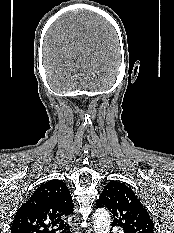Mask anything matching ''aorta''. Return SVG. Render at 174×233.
I'll return each mask as SVG.
<instances>
[{
    "label": "aorta",
    "instance_id": "1",
    "mask_svg": "<svg viewBox=\"0 0 174 233\" xmlns=\"http://www.w3.org/2000/svg\"><path fill=\"white\" fill-rule=\"evenodd\" d=\"M95 233H109L111 226L110 214L106 209H97L93 216Z\"/></svg>",
    "mask_w": 174,
    "mask_h": 233
}]
</instances>
